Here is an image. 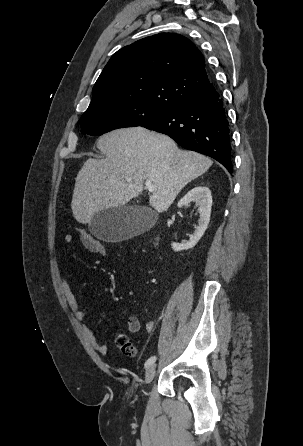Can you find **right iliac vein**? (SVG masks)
Instances as JSON below:
<instances>
[{
    "mask_svg": "<svg viewBox=\"0 0 303 446\" xmlns=\"http://www.w3.org/2000/svg\"><path fill=\"white\" fill-rule=\"evenodd\" d=\"M155 373H156V365L153 364L146 369L145 383H147V384L150 383L153 380Z\"/></svg>",
    "mask_w": 303,
    "mask_h": 446,
    "instance_id": "obj_1",
    "label": "right iliac vein"
}]
</instances>
